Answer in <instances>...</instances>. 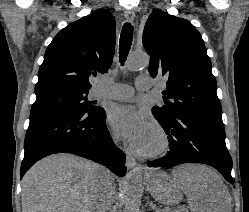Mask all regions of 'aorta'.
<instances>
[{
  "instance_id": "762f6f07",
  "label": "aorta",
  "mask_w": 249,
  "mask_h": 212,
  "mask_svg": "<svg viewBox=\"0 0 249 212\" xmlns=\"http://www.w3.org/2000/svg\"><path fill=\"white\" fill-rule=\"evenodd\" d=\"M149 64V56L146 53H133L127 60V69L136 71ZM142 196V169L134 168L127 180L125 192L124 212H139Z\"/></svg>"
}]
</instances>
